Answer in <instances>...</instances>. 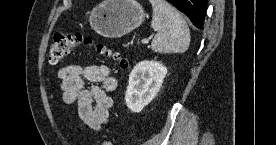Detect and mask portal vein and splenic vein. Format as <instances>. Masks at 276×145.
Listing matches in <instances>:
<instances>
[{
  "instance_id": "1",
  "label": "portal vein and splenic vein",
  "mask_w": 276,
  "mask_h": 145,
  "mask_svg": "<svg viewBox=\"0 0 276 145\" xmlns=\"http://www.w3.org/2000/svg\"><path fill=\"white\" fill-rule=\"evenodd\" d=\"M148 42H149L148 39H142V40H141V43H142L143 45L148 44Z\"/></svg>"
}]
</instances>
